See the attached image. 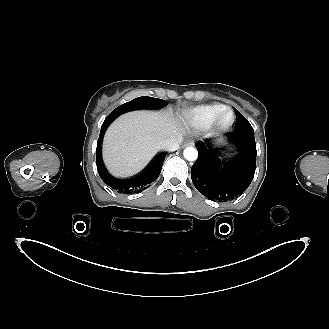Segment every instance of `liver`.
I'll use <instances>...</instances> for the list:
<instances>
[{"mask_svg":"<svg viewBox=\"0 0 329 329\" xmlns=\"http://www.w3.org/2000/svg\"><path fill=\"white\" fill-rule=\"evenodd\" d=\"M182 127L169 112L134 111L117 118L106 131L103 158L110 173L130 177L156 155L163 141L182 137Z\"/></svg>","mask_w":329,"mask_h":329,"instance_id":"obj_1","label":"liver"}]
</instances>
